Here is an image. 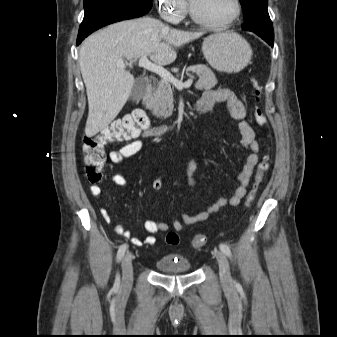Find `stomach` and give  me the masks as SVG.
I'll use <instances>...</instances> for the list:
<instances>
[{
  "label": "stomach",
  "mask_w": 337,
  "mask_h": 337,
  "mask_svg": "<svg viewBox=\"0 0 337 337\" xmlns=\"http://www.w3.org/2000/svg\"><path fill=\"white\" fill-rule=\"evenodd\" d=\"M202 51L211 67L225 73L240 72L252 57L249 43L233 32L210 35L204 40Z\"/></svg>",
  "instance_id": "stomach-1"
}]
</instances>
